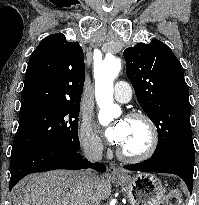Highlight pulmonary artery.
I'll list each match as a JSON object with an SVG mask.
<instances>
[{
	"instance_id": "e3ab8cb5",
	"label": "pulmonary artery",
	"mask_w": 199,
	"mask_h": 205,
	"mask_svg": "<svg viewBox=\"0 0 199 205\" xmlns=\"http://www.w3.org/2000/svg\"><path fill=\"white\" fill-rule=\"evenodd\" d=\"M114 97L118 102H128L132 97V87L125 81H117L114 87Z\"/></svg>"
}]
</instances>
